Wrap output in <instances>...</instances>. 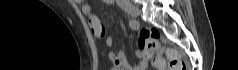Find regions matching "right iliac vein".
<instances>
[{
  "instance_id": "1",
  "label": "right iliac vein",
  "mask_w": 238,
  "mask_h": 70,
  "mask_svg": "<svg viewBox=\"0 0 238 70\" xmlns=\"http://www.w3.org/2000/svg\"><path fill=\"white\" fill-rule=\"evenodd\" d=\"M123 9L134 18L138 17L141 14L139 8L132 4H125L123 6Z\"/></svg>"
}]
</instances>
